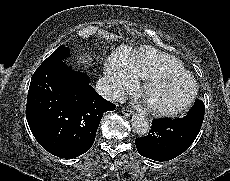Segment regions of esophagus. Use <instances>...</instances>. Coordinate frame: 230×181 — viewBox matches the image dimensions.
<instances>
[{
    "instance_id": "esophagus-1",
    "label": "esophagus",
    "mask_w": 230,
    "mask_h": 181,
    "mask_svg": "<svg viewBox=\"0 0 230 181\" xmlns=\"http://www.w3.org/2000/svg\"><path fill=\"white\" fill-rule=\"evenodd\" d=\"M122 113L127 116L130 117L132 115V110L128 107H123L122 108Z\"/></svg>"
}]
</instances>
